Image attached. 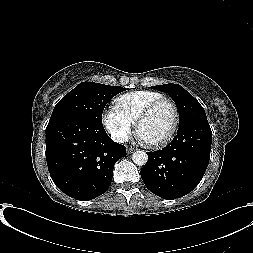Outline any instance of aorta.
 I'll return each instance as SVG.
<instances>
[{
    "instance_id": "762f6f07",
    "label": "aorta",
    "mask_w": 253,
    "mask_h": 253,
    "mask_svg": "<svg viewBox=\"0 0 253 253\" xmlns=\"http://www.w3.org/2000/svg\"><path fill=\"white\" fill-rule=\"evenodd\" d=\"M132 160L136 165L143 166L147 163L148 155L144 151H135L132 154Z\"/></svg>"
}]
</instances>
